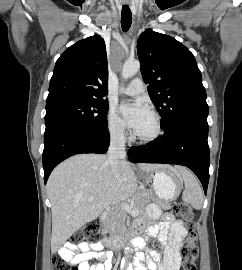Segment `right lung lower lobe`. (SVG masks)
<instances>
[{
    "label": "right lung lower lobe",
    "instance_id": "1",
    "mask_svg": "<svg viewBox=\"0 0 242 270\" xmlns=\"http://www.w3.org/2000/svg\"><path fill=\"white\" fill-rule=\"evenodd\" d=\"M110 144L107 125L93 128L75 122H59L46 127L44 134V182L61 161L78 153H105Z\"/></svg>",
    "mask_w": 242,
    "mask_h": 270
}]
</instances>
